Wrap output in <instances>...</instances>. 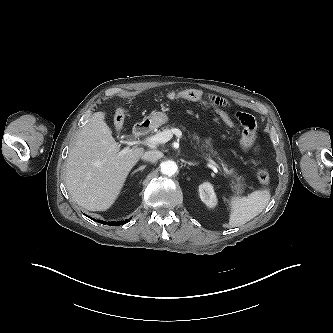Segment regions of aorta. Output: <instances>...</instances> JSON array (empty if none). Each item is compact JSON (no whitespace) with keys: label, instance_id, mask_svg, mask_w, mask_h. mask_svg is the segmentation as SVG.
Segmentation results:
<instances>
[{"label":"aorta","instance_id":"aorta-1","mask_svg":"<svg viewBox=\"0 0 333 333\" xmlns=\"http://www.w3.org/2000/svg\"><path fill=\"white\" fill-rule=\"evenodd\" d=\"M160 171L164 175L172 176L178 171V166L172 160L164 161L160 165Z\"/></svg>","mask_w":333,"mask_h":333}]
</instances>
